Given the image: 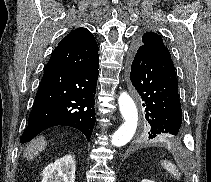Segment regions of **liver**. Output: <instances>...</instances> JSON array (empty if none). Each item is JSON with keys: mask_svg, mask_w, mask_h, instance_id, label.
I'll return each mask as SVG.
<instances>
[{"mask_svg": "<svg viewBox=\"0 0 211 182\" xmlns=\"http://www.w3.org/2000/svg\"><path fill=\"white\" fill-rule=\"evenodd\" d=\"M46 145L47 142L43 136L36 138L25 150L24 157H26L28 160L33 159L39 154V152L45 149Z\"/></svg>", "mask_w": 211, "mask_h": 182, "instance_id": "6515ba94", "label": "liver"}]
</instances>
